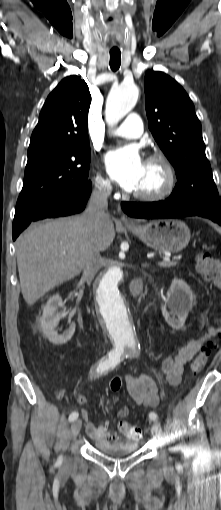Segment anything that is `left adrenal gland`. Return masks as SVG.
I'll use <instances>...</instances> for the list:
<instances>
[{
	"mask_svg": "<svg viewBox=\"0 0 221 510\" xmlns=\"http://www.w3.org/2000/svg\"><path fill=\"white\" fill-rule=\"evenodd\" d=\"M148 266H149V264H143V267H148Z\"/></svg>",
	"mask_w": 221,
	"mask_h": 510,
	"instance_id": "1",
	"label": "left adrenal gland"
}]
</instances>
